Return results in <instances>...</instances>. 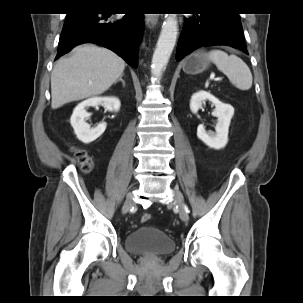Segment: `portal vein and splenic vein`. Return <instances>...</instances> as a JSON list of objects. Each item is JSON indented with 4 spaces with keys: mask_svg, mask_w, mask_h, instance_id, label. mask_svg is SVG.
I'll use <instances>...</instances> for the list:
<instances>
[{
    "mask_svg": "<svg viewBox=\"0 0 303 303\" xmlns=\"http://www.w3.org/2000/svg\"><path fill=\"white\" fill-rule=\"evenodd\" d=\"M210 79H212V80H215V81H220V80H222V78H215V75L214 74H211V76H210Z\"/></svg>",
    "mask_w": 303,
    "mask_h": 303,
    "instance_id": "obj_1",
    "label": "portal vein and splenic vein"
}]
</instances>
